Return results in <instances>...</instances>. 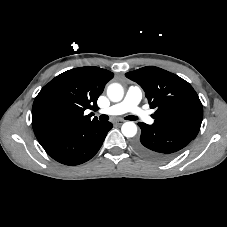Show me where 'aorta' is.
Wrapping results in <instances>:
<instances>
[{
  "mask_svg": "<svg viewBox=\"0 0 227 227\" xmlns=\"http://www.w3.org/2000/svg\"><path fill=\"white\" fill-rule=\"evenodd\" d=\"M107 96L112 102H119L123 99L124 89L120 84L112 83L107 88ZM121 131L125 137H134L137 133V126L134 122H125Z\"/></svg>",
  "mask_w": 227,
  "mask_h": 227,
  "instance_id": "obj_1",
  "label": "aorta"
}]
</instances>
